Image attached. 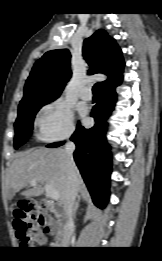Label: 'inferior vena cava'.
I'll return each instance as SVG.
<instances>
[{"label":"inferior vena cava","instance_id":"obj_1","mask_svg":"<svg viewBox=\"0 0 162 261\" xmlns=\"http://www.w3.org/2000/svg\"><path fill=\"white\" fill-rule=\"evenodd\" d=\"M65 153H66V166L68 168L67 172V191L65 199L63 201V218H64V235H63V244L69 242V231L73 224V211L75 199L77 196V167L73 160V152L75 150V144L71 141H68L65 144Z\"/></svg>","mask_w":162,"mask_h":261}]
</instances>
